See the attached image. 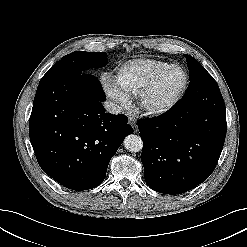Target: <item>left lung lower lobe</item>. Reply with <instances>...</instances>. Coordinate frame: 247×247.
I'll use <instances>...</instances> for the list:
<instances>
[{"mask_svg": "<svg viewBox=\"0 0 247 247\" xmlns=\"http://www.w3.org/2000/svg\"><path fill=\"white\" fill-rule=\"evenodd\" d=\"M190 85L194 97L138 121L145 181L160 193L181 194L204 182L223 149L226 113L216 81L207 75Z\"/></svg>", "mask_w": 247, "mask_h": 247, "instance_id": "1", "label": "left lung lower lobe"}]
</instances>
